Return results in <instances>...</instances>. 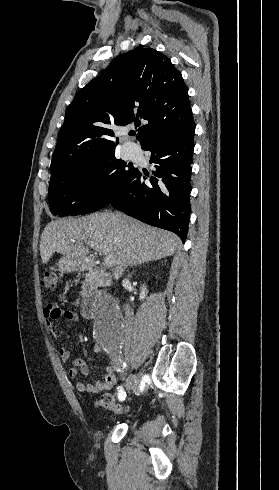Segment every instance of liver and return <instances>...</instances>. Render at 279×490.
Returning <instances> with one entry per match:
<instances>
[{"label": "liver", "instance_id": "6515ba94", "mask_svg": "<svg viewBox=\"0 0 279 490\" xmlns=\"http://www.w3.org/2000/svg\"><path fill=\"white\" fill-rule=\"evenodd\" d=\"M88 242H95L101 252L114 256V276L117 278H121L127 266L173 256L181 246L180 238L172 232L151 228L129 216L106 210L102 214L66 218L47 224L39 246L42 264H47L55 252L83 262L90 254L85 246Z\"/></svg>", "mask_w": 279, "mask_h": 490}]
</instances>
